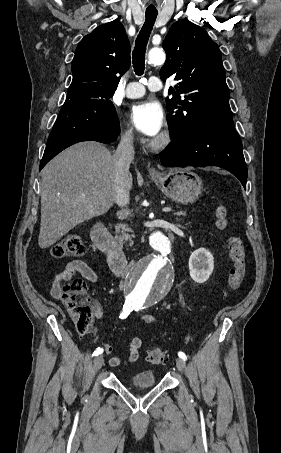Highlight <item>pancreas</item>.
I'll return each mask as SVG.
<instances>
[{
	"label": "pancreas",
	"instance_id": "1",
	"mask_svg": "<svg viewBox=\"0 0 281 453\" xmlns=\"http://www.w3.org/2000/svg\"><path fill=\"white\" fill-rule=\"evenodd\" d=\"M176 214H185V212H176ZM116 239H121V241H130L131 235L128 233H133L132 229H129L128 224H116Z\"/></svg>",
	"mask_w": 281,
	"mask_h": 453
}]
</instances>
